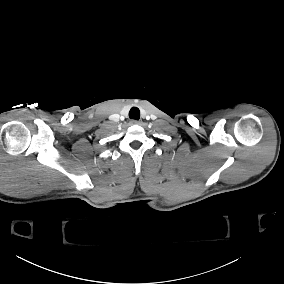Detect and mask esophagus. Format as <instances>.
<instances>
[{
    "label": "esophagus",
    "instance_id": "1",
    "mask_svg": "<svg viewBox=\"0 0 284 284\" xmlns=\"http://www.w3.org/2000/svg\"><path fill=\"white\" fill-rule=\"evenodd\" d=\"M131 124L136 125L139 124V122L137 120H131Z\"/></svg>",
    "mask_w": 284,
    "mask_h": 284
}]
</instances>
